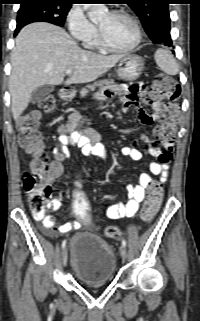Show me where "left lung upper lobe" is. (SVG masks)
<instances>
[{
    "label": "left lung upper lobe",
    "mask_w": 200,
    "mask_h": 321,
    "mask_svg": "<svg viewBox=\"0 0 200 321\" xmlns=\"http://www.w3.org/2000/svg\"><path fill=\"white\" fill-rule=\"evenodd\" d=\"M139 17L149 38L157 44H165L171 40L170 0H124Z\"/></svg>",
    "instance_id": "1"
}]
</instances>
